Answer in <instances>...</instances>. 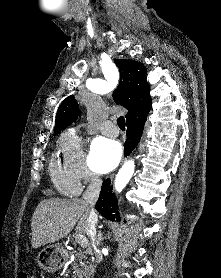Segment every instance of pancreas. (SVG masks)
<instances>
[{
	"label": "pancreas",
	"instance_id": "1",
	"mask_svg": "<svg viewBox=\"0 0 221 278\" xmlns=\"http://www.w3.org/2000/svg\"><path fill=\"white\" fill-rule=\"evenodd\" d=\"M76 257L80 260L84 259L86 260L87 257L83 253H77ZM74 275L73 278H91L94 273V266L93 265H88V262H80L81 268L75 267L77 263L74 261Z\"/></svg>",
	"mask_w": 221,
	"mask_h": 278
}]
</instances>
